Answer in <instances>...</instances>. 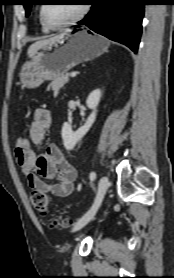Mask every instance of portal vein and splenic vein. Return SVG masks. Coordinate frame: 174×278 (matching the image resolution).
<instances>
[{"label":"portal vein and splenic vein","mask_w":174,"mask_h":278,"mask_svg":"<svg viewBox=\"0 0 174 278\" xmlns=\"http://www.w3.org/2000/svg\"><path fill=\"white\" fill-rule=\"evenodd\" d=\"M76 75H77L76 72H72V73L70 74L71 77H75Z\"/></svg>","instance_id":"1"}]
</instances>
